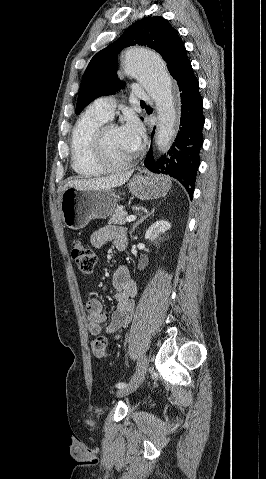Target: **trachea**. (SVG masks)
<instances>
[{
	"label": "trachea",
	"instance_id": "3493384b",
	"mask_svg": "<svg viewBox=\"0 0 266 479\" xmlns=\"http://www.w3.org/2000/svg\"><path fill=\"white\" fill-rule=\"evenodd\" d=\"M140 103H142V104H145V102H144V101H141Z\"/></svg>",
	"mask_w": 266,
	"mask_h": 479
}]
</instances>
